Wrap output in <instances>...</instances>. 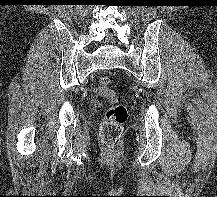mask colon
Instances as JSON below:
<instances>
[{"mask_svg":"<svg viewBox=\"0 0 217 197\" xmlns=\"http://www.w3.org/2000/svg\"><path fill=\"white\" fill-rule=\"evenodd\" d=\"M111 79L109 77H101L98 80V93L107 99L111 106L107 109L100 128V137L103 147L113 152L118 149L123 134V125L127 121V108L118 103V96L110 88Z\"/></svg>","mask_w":217,"mask_h":197,"instance_id":"obj_1","label":"colon"}]
</instances>
